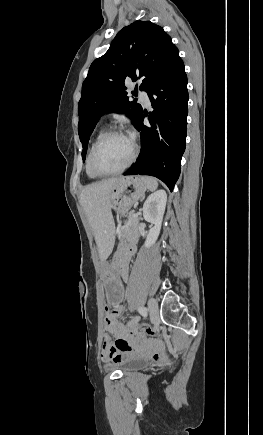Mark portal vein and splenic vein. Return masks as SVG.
Listing matches in <instances>:
<instances>
[{"label":"portal vein and splenic vein","instance_id":"obj_1","mask_svg":"<svg viewBox=\"0 0 263 435\" xmlns=\"http://www.w3.org/2000/svg\"><path fill=\"white\" fill-rule=\"evenodd\" d=\"M134 216L136 217V216H138V214H134Z\"/></svg>","mask_w":263,"mask_h":435}]
</instances>
